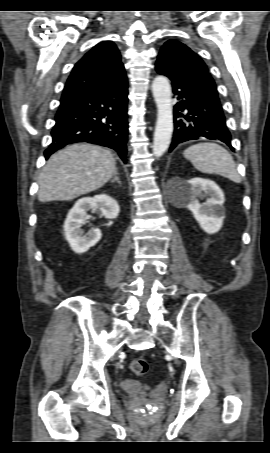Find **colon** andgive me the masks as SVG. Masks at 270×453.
I'll list each match as a JSON object with an SVG mask.
<instances>
[{
    "mask_svg": "<svg viewBox=\"0 0 270 453\" xmlns=\"http://www.w3.org/2000/svg\"><path fill=\"white\" fill-rule=\"evenodd\" d=\"M131 369L136 375L142 376L148 372L149 364L143 358H136L131 362Z\"/></svg>",
    "mask_w": 270,
    "mask_h": 453,
    "instance_id": "1",
    "label": "colon"
}]
</instances>
